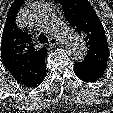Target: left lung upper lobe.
I'll return each instance as SVG.
<instances>
[{
    "instance_id": "5c2ea615",
    "label": "left lung upper lobe",
    "mask_w": 113,
    "mask_h": 113,
    "mask_svg": "<svg viewBox=\"0 0 113 113\" xmlns=\"http://www.w3.org/2000/svg\"><path fill=\"white\" fill-rule=\"evenodd\" d=\"M71 26L83 36L87 55L82 61L105 69L109 48L103 25L88 0H57Z\"/></svg>"
}]
</instances>
